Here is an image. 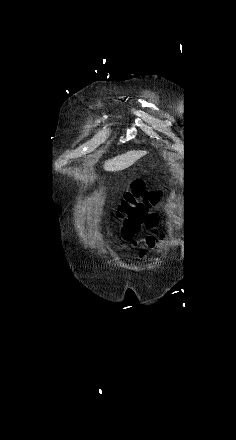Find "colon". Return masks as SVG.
Instances as JSON below:
<instances>
[{
	"label": "colon",
	"instance_id": "obj_1",
	"mask_svg": "<svg viewBox=\"0 0 236 440\" xmlns=\"http://www.w3.org/2000/svg\"><path fill=\"white\" fill-rule=\"evenodd\" d=\"M159 196L146 190L145 181L137 179L132 188L125 195L122 204L121 216L124 219V236L129 237L137 231L139 224L144 220L146 211L154 205Z\"/></svg>",
	"mask_w": 236,
	"mask_h": 440
}]
</instances>
